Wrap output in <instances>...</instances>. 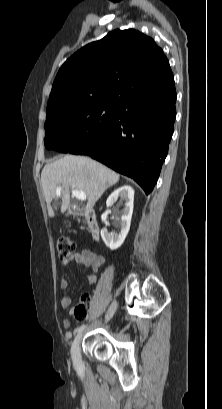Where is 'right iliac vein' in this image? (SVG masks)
<instances>
[{
	"label": "right iliac vein",
	"mask_w": 222,
	"mask_h": 409,
	"mask_svg": "<svg viewBox=\"0 0 222 409\" xmlns=\"http://www.w3.org/2000/svg\"><path fill=\"white\" fill-rule=\"evenodd\" d=\"M117 306H118V304H117L116 301H114L111 304V306L109 307L108 312L106 314V318H105L106 321H108L113 316V314L115 313V311L117 309ZM81 338H82V333H79L75 337V339H74V341L72 343V346H71V356H72V359H73L74 362H78L80 360V342H81Z\"/></svg>",
	"instance_id": "1"
}]
</instances>
